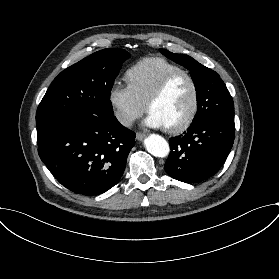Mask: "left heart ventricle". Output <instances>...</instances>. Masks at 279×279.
Here are the masks:
<instances>
[{
    "instance_id": "1",
    "label": "left heart ventricle",
    "mask_w": 279,
    "mask_h": 279,
    "mask_svg": "<svg viewBox=\"0 0 279 279\" xmlns=\"http://www.w3.org/2000/svg\"><path fill=\"white\" fill-rule=\"evenodd\" d=\"M193 98L194 91L190 81L186 77H181L152 104L150 111L158 115L166 127L178 125L190 113Z\"/></svg>"
}]
</instances>
